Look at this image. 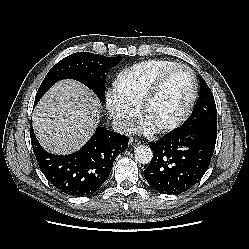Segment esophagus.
Segmentation results:
<instances>
[{
	"instance_id": "1",
	"label": "esophagus",
	"mask_w": 249,
	"mask_h": 249,
	"mask_svg": "<svg viewBox=\"0 0 249 249\" xmlns=\"http://www.w3.org/2000/svg\"><path fill=\"white\" fill-rule=\"evenodd\" d=\"M129 144L133 147L138 146L140 144V141L135 138H130Z\"/></svg>"
}]
</instances>
